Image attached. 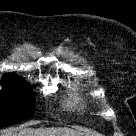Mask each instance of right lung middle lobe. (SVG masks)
Returning <instances> with one entry per match:
<instances>
[{
    "label": "right lung middle lobe",
    "mask_w": 136,
    "mask_h": 136,
    "mask_svg": "<svg viewBox=\"0 0 136 136\" xmlns=\"http://www.w3.org/2000/svg\"><path fill=\"white\" fill-rule=\"evenodd\" d=\"M0 91V128L26 120L35 112L32 86L23 79L2 82Z\"/></svg>",
    "instance_id": "right-lung-middle-lobe-1"
}]
</instances>
